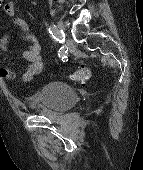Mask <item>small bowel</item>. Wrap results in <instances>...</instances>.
<instances>
[{"label":"small bowel","mask_w":143,"mask_h":170,"mask_svg":"<svg viewBox=\"0 0 143 170\" xmlns=\"http://www.w3.org/2000/svg\"><path fill=\"white\" fill-rule=\"evenodd\" d=\"M2 11L8 16H14L15 4L13 1H3L0 3ZM15 27L24 33V38L28 41V47L22 51V57L29 62V66L23 74V81L28 82L34 76L40 74L45 68V62L41 56V46L35 36L29 33L27 22L19 17L13 19ZM11 37L4 36L0 39V52L6 51L10 45ZM0 76L7 80L15 78V72L12 69L0 66Z\"/></svg>","instance_id":"obj_1"}]
</instances>
